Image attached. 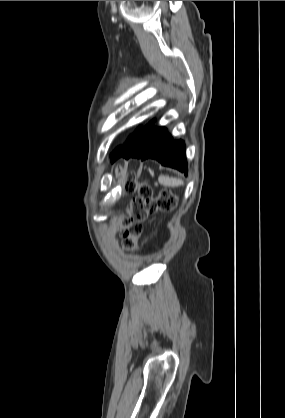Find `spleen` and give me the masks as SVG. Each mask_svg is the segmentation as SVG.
Masks as SVG:
<instances>
[{"label": "spleen", "mask_w": 285, "mask_h": 418, "mask_svg": "<svg viewBox=\"0 0 285 418\" xmlns=\"http://www.w3.org/2000/svg\"><path fill=\"white\" fill-rule=\"evenodd\" d=\"M158 181L164 185V186H168V187H178L184 184V182L181 179H177V178H172V177H168V176H160L158 178Z\"/></svg>", "instance_id": "obj_1"}]
</instances>
